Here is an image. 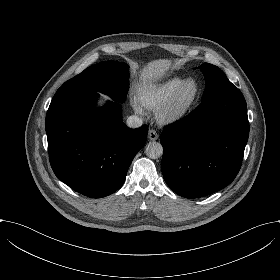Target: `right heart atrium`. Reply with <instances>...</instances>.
Listing matches in <instances>:
<instances>
[{
  "mask_svg": "<svg viewBox=\"0 0 280 280\" xmlns=\"http://www.w3.org/2000/svg\"><path fill=\"white\" fill-rule=\"evenodd\" d=\"M136 109H137L138 111H140V108H139V107H137V106H136Z\"/></svg>",
  "mask_w": 280,
  "mask_h": 280,
  "instance_id": "d8ad5b80",
  "label": "right heart atrium"
}]
</instances>
